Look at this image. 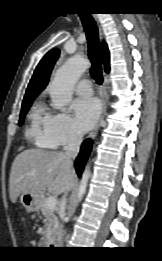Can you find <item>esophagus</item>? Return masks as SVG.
<instances>
[{"mask_svg":"<svg viewBox=\"0 0 162 261\" xmlns=\"http://www.w3.org/2000/svg\"><path fill=\"white\" fill-rule=\"evenodd\" d=\"M94 19H95V22L97 24V27H98V31H99V38L100 40L102 41L103 38H104V33H103V28H102V25L97 17V15H94L93 16ZM103 77H104V80H103V84L101 86V89H100V97H101V112H100V117L93 129V131L91 132L90 134V138L91 139H94L98 133V130H99V127H100V123L104 117V114H105V111H106V104H107V85H108V79H107V75L105 72H103Z\"/></svg>","mask_w":162,"mask_h":261,"instance_id":"obj_1","label":"esophagus"}]
</instances>
